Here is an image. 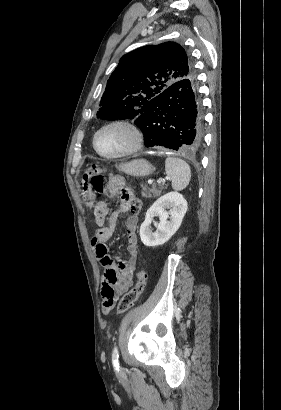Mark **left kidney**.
Instances as JSON below:
<instances>
[{
    "label": "left kidney",
    "mask_w": 281,
    "mask_h": 410,
    "mask_svg": "<svg viewBox=\"0 0 281 410\" xmlns=\"http://www.w3.org/2000/svg\"><path fill=\"white\" fill-rule=\"evenodd\" d=\"M186 211L187 201L178 192H169L158 198L147 210L145 220L140 226L142 243L148 247L166 243L179 229ZM155 216L159 217L160 222L157 231L153 232L150 225Z\"/></svg>",
    "instance_id": "obj_1"
}]
</instances>
